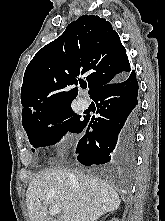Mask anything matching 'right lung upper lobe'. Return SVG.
I'll list each match as a JSON object with an SVG mask.
<instances>
[{"mask_svg":"<svg viewBox=\"0 0 165 221\" xmlns=\"http://www.w3.org/2000/svg\"><path fill=\"white\" fill-rule=\"evenodd\" d=\"M131 71L126 50L112 25L95 15H83L44 46L26 68L21 88L22 123L41 114L71 106L85 76L90 97L102 86Z\"/></svg>","mask_w":165,"mask_h":221,"instance_id":"cb5924a9","label":"right lung upper lobe"}]
</instances>
